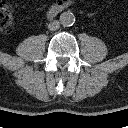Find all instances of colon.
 Here are the masks:
<instances>
[{"label":"colon","mask_w":128,"mask_h":128,"mask_svg":"<svg viewBox=\"0 0 128 128\" xmlns=\"http://www.w3.org/2000/svg\"><path fill=\"white\" fill-rule=\"evenodd\" d=\"M12 13L7 4L0 0V32L8 33L12 29Z\"/></svg>","instance_id":"5ec220e1"}]
</instances>
